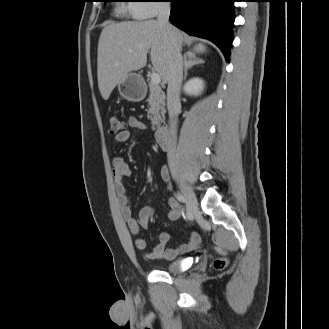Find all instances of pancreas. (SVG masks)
Instances as JSON below:
<instances>
[{
	"instance_id": "1",
	"label": "pancreas",
	"mask_w": 329,
	"mask_h": 329,
	"mask_svg": "<svg viewBox=\"0 0 329 329\" xmlns=\"http://www.w3.org/2000/svg\"><path fill=\"white\" fill-rule=\"evenodd\" d=\"M149 90L150 93L147 99L149 103L148 118L154 128H159L165 114V95L159 86L153 85L151 82L149 83Z\"/></svg>"
}]
</instances>
